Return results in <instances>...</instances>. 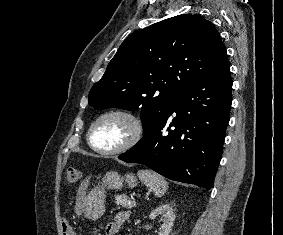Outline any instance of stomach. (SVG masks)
I'll list each match as a JSON object with an SVG mask.
<instances>
[{"label":"stomach","mask_w":283,"mask_h":235,"mask_svg":"<svg viewBox=\"0 0 283 235\" xmlns=\"http://www.w3.org/2000/svg\"><path fill=\"white\" fill-rule=\"evenodd\" d=\"M124 181L131 188L137 184V178L132 173L123 177L115 171H109L103 177L101 186L95 187L87 194L82 195L79 205L86 217L91 220L100 218L105 212L106 190H120Z\"/></svg>","instance_id":"1"}]
</instances>
